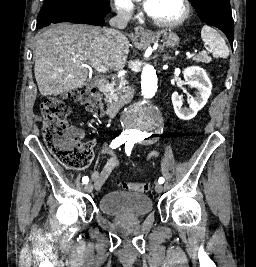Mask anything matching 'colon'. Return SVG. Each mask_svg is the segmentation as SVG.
Masks as SVG:
<instances>
[{
    "label": "colon",
    "mask_w": 256,
    "mask_h": 267,
    "mask_svg": "<svg viewBox=\"0 0 256 267\" xmlns=\"http://www.w3.org/2000/svg\"><path fill=\"white\" fill-rule=\"evenodd\" d=\"M75 103L81 104L89 112H102V102L89 89H76L69 93ZM43 114V136L48 149L64 166L70 168H85L90 163L93 153L87 144L75 143V132L66 123L71 109L67 103L58 97L44 99L41 104ZM119 186L125 190L145 193L152 190V185L146 182H121Z\"/></svg>",
    "instance_id": "5ec220e1"
}]
</instances>
